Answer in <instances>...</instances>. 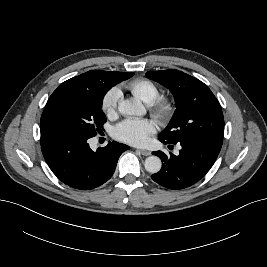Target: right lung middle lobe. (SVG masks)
Masks as SVG:
<instances>
[{
  "mask_svg": "<svg viewBox=\"0 0 267 267\" xmlns=\"http://www.w3.org/2000/svg\"><path fill=\"white\" fill-rule=\"evenodd\" d=\"M133 75L120 72L109 82H97L89 86L61 84L48 99L40 124L94 137L106 122L101 110L104 95L111 87Z\"/></svg>",
  "mask_w": 267,
  "mask_h": 267,
  "instance_id": "right-lung-middle-lobe-1",
  "label": "right lung middle lobe"
}]
</instances>
